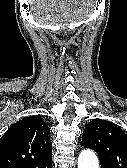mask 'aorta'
Returning <instances> with one entry per match:
<instances>
[{
  "mask_svg": "<svg viewBox=\"0 0 127 168\" xmlns=\"http://www.w3.org/2000/svg\"><path fill=\"white\" fill-rule=\"evenodd\" d=\"M78 168H99L96 154L90 150H83L78 157Z\"/></svg>",
  "mask_w": 127,
  "mask_h": 168,
  "instance_id": "1",
  "label": "aorta"
}]
</instances>
